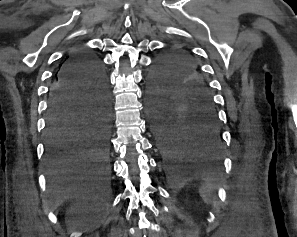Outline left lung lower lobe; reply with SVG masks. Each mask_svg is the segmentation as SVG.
<instances>
[{
	"label": "left lung lower lobe",
	"mask_w": 297,
	"mask_h": 237,
	"mask_svg": "<svg viewBox=\"0 0 297 237\" xmlns=\"http://www.w3.org/2000/svg\"><path fill=\"white\" fill-rule=\"evenodd\" d=\"M149 112L156 143L174 167L219 168L222 140L215 107L195 100L183 105L150 102Z\"/></svg>",
	"instance_id": "left-lung-lower-lobe-1"
}]
</instances>
